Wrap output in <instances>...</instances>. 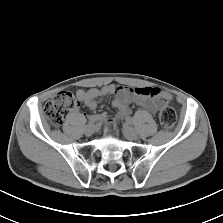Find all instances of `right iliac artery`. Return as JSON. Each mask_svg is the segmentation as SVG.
<instances>
[{
  "label": "right iliac artery",
  "instance_id": "right-iliac-artery-1",
  "mask_svg": "<svg viewBox=\"0 0 223 223\" xmlns=\"http://www.w3.org/2000/svg\"><path fill=\"white\" fill-rule=\"evenodd\" d=\"M97 121H98V119H97L96 115H93L89 118L88 124H94Z\"/></svg>",
  "mask_w": 223,
  "mask_h": 223
}]
</instances>
